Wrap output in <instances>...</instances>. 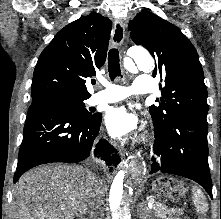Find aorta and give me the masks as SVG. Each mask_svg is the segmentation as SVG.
<instances>
[{"instance_id":"aorta-1","label":"aorta","mask_w":221,"mask_h":219,"mask_svg":"<svg viewBox=\"0 0 221 219\" xmlns=\"http://www.w3.org/2000/svg\"><path fill=\"white\" fill-rule=\"evenodd\" d=\"M124 63L129 71H134L137 68L149 70L154 66L152 57L142 48L130 49ZM142 172V163L135 160L130 163L128 168L122 169L116 174L110 191L112 219L131 218L130 203Z\"/></svg>"}]
</instances>
